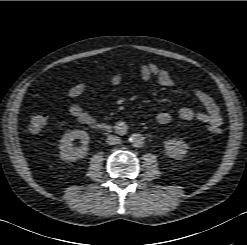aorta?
I'll return each instance as SVG.
<instances>
[{
    "instance_id": "1",
    "label": "aorta",
    "mask_w": 247,
    "mask_h": 245,
    "mask_svg": "<svg viewBox=\"0 0 247 245\" xmlns=\"http://www.w3.org/2000/svg\"><path fill=\"white\" fill-rule=\"evenodd\" d=\"M129 141L132 144V146L140 148L144 144V137L139 133H134L129 138Z\"/></svg>"
}]
</instances>
